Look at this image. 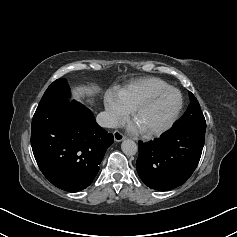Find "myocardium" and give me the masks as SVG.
I'll return each mask as SVG.
<instances>
[{
  "label": "myocardium",
  "instance_id": "1",
  "mask_svg": "<svg viewBox=\"0 0 237 237\" xmlns=\"http://www.w3.org/2000/svg\"><path fill=\"white\" fill-rule=\"evenodd\" d=\"M176 92L178 94L179 97V104L175 110V112L172 114V116L170 117V119L161 127L158 128H154V129H138V131L145 137H152V136H158L161 135L163 133H165L166 131H168L178 120L181 111L183 109V105H184V99L182 96V93L175 87L172 86H168L164 89H160L157 90L147 96H145L143 99H141L138 103H136L134 105V107L131 109L130 111V118L131 121L134 123V120L137 116V114L142 111L144 108H146L150 103H152L156 98L160 97L161 95L167 93V92Z\"/></svg>",
  "mask_w": 237,
  "mask_h": 237
}]
</instances>
